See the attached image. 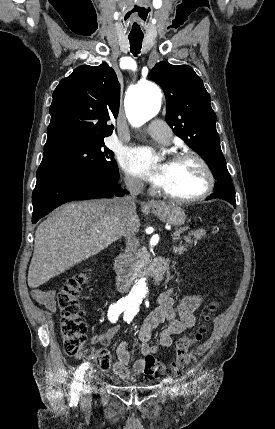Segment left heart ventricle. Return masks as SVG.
I'll return each mask as SVG.
<instances>
[{"instance_id":"obj_1","label":"left heart ventricle","mask_w":275,"mask_h":429,"mask_svg":"<svg viewBox=\"0 0 275 429\" xmlns=\"http://www.w3.org/2000/svg\"><path fill=\"white\" fill-rule=\"evenodd\" d=\"M167 163L166 179L162 189L181 197L196 195L204 189L205 174L196 161L181 160Z\"/></svg>"}]
</instances>
